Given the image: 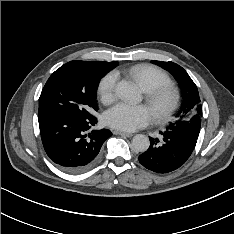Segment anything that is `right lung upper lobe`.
I'll list each match as a JSON object with an SVG mask.
<instances>
[{"label": "right lung upper lobe", "mask_w": 234, "mask_h": 234, "mask_svg": "<svg viewBox=\"0 0 234 234\" xmlns=\"http://www.w3.org/2000/svg\"><path fill=\"white\" fill-rule=\"evenodd\" d=\"M75 62H79L94 68L103 69L108 72L114 67H116L118 64L117 62H104V61H75Z\"/></svg>", "instance_id": "obj_1"}]
</instances>
